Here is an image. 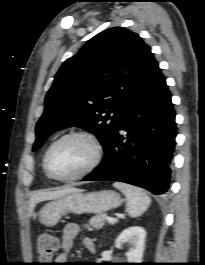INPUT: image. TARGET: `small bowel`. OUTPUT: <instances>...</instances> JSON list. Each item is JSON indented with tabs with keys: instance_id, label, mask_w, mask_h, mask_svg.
Wrapping results in <instances>:
<instances>
[{
	"instance_id": "c3829d8e",
	"label": "small bowel",
	"mask_w": 205,
	"mask_h": 265,
	"mask_svg": "<svg viewBox=\"0 0 205 265\" xmlns=\"http://www.w3.org/2000/svg\"><path fill=\"white\" fill-rule=\"evenodd\" d=\"M79 231L80 229L77 224L70 223L65 226V228L63 229L61 244H60L62 252L57 256L56 264L58 265L64 264V262L67 260V254L72 249L74 241L79 234ZM83 245L89 252H91L90 248L95 249L94 243L89 237H85L83 239Z\"/></svg>"
}]
</instances>
